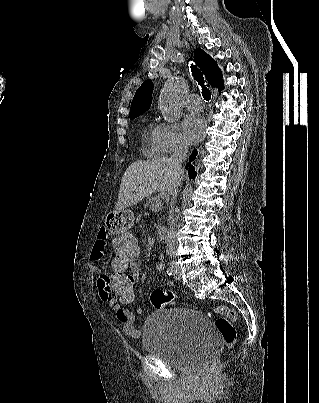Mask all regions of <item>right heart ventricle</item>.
I'll return each mask as SVG.
<instances>
[{"label": "right heart ventricle", "mask_w": 319, "mask_h": 403, "mask_svg": "<svg viewBox=\"0 0 319 403\" xmlns=\"http://www.w3.org/2000/svg\"><path fill=\"white\" fill-rule=\"evenodd\" d=\"M144 153L149 157H156L161 153L157 141V127L147 126L144 132Z\"/></svg>", "instance_id": "obj_1"}]
</instances>
